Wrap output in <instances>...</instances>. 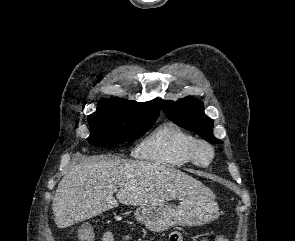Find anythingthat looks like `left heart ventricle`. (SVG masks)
Segmentation results:
<instances>
[{
  "instance_id": "1",
  "label": "left heart ventricle",
  "mask_w": 295,
  "mask_h": 241,
  "mask_svg": "<svg viewBox=\"0 0 295 241\" xmlns=\"http://www.w3.org/2000/svg\"><path fill=\"white\" fill-rule=\"evenodd\" d=\"M201 158H202L203 160H207V159H208V153H207L206 151H203V152L201 153Z\"/></svg>"
}]
</instances>
